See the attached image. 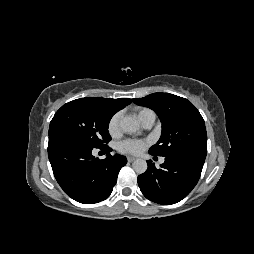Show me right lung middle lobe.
Returning a JSON list of instances; mask_svg holds the SVG:
<instances>
[{"label":"right lung middle lobe","mask_w":254,"mask_h":254,"mask_svg":"<svg viewBox=\"0 0 254 254\" xmlns=\"http://www.w3.org/2000/svg\"><path fill=\"white\" fill-rule=\"evenodd\" d=\"M114 112L100 99L86 97L64 104L50 122V136L79 140L95 148L111 140L108 125Z\"/></svg>","instance_id":"obj_1"}]
</instances>
